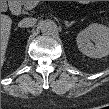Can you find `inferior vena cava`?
<instances>
[{
  "instance_id": "inferior-vena-cava-1",
  "label": "inferior vena cava",
  "mask_w": 109,
  "mask_h": 109,
  "mask_svg": "<svg viewBox=\"0 0 109 109\" xmlns=\"http://www.w3.org/2000/svg\"><path fill=\"white\" fill-rule=\"evenodd\" d=\"M35 24H36L35 18H24L18 23V26L23 27V28H27V27H32Z\"/></svg>"
}]
</instances>
